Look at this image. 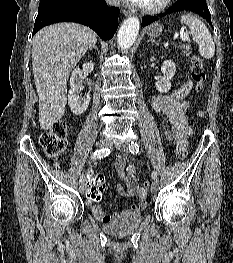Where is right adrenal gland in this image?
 <instances>
[{"mask_svg": "<svg viewBox=\"0 0 233 263\" xmlns=\"http://www.w3.org/2000/svg\"><path fill=\"white\" fill-rule=\"evenodd\" d=\"M92 49L98 50V48H97V46H96V42H94V43L92 44V46L89 48V50H92Z\"/></svg>", "mask_w": 233, "mask_h": 263, "instance_id": "1", "label": "right adrenal gland"}]
</instances>
